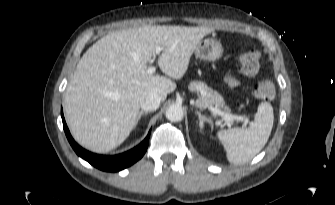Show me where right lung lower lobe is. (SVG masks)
Wrapping results in <instances>:
<instances>
[{
	"label": "right lung lower lobe",
	"instance_id": "right-lung-lower-lobe-1",
	"mask_svg": "<svg viewBox=\"0 0 335 205\" xmlns=\"http://www.w3.org/2000/svg\"><path fill=\"white\" fill-rule=\"evenodd\" d=\"M61 116L63 121V128L66 134V137L74 149V151L77 153L78 156L82 157L86 161H88L91 165L94 167L108 172H116L120 171L126 167L131 166L133 163L138 161L146 152L148 144H149V136L150 132L146 136V138L135 148L114 156H103V155H97L94 153H91L82 147H80L72 138L69 129L66 125L63 111L61 110Z\"/></svg>",
	"mask_w": 335,
	"mask_h": 205
}]
</instances>
